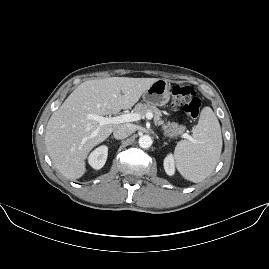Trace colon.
Wrapping results in <instances>:
<instances>
[{
    "instance_id": "colon-1",
    "label": "colon",
    "mask_w": 269,
    "mask_h": 269,
    "mask_svg": "<svg viewBox=\"0 0 269 269\" xmlns=\"http://www.w3.org/2000/svg\"><path fill=\"white\" fill-rule=\"evenodd\" d=\"M170 99L173 108L177 109L182 107L189 117H198L202 102L189 86L175 85L171 90Z\"/></svg>"
}]
</instances>
